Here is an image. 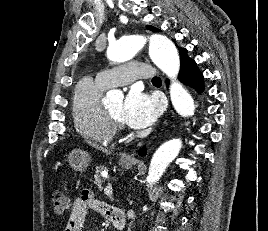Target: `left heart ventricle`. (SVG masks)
<instances>
[{"mask_svg":"<svg viewBox=\"0 0 268 231\" xmlns=\"http://www.w3.org/2000/svg\"><path fill=\"white\" fill-rule=\"evenodd\" d=\"M108 110H109L115 117H117L118 119H120L121 121H123V118H122L123 101H122V100L111 103V104L108 106Z\"/></svg>","mask_w":268,"mask_h":231,"instance_id":"1","label":"left heart ventricle"}]
</instances>
